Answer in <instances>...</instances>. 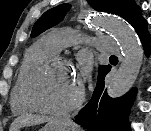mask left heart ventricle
Wrapping results in <instances>:
<instances>
[{
	"label": "left heart ventricle",
	"mask_w": 151,
	"mask_h": 131,
	"mask_svg": "<svg viewBox=\"0 0 151 131\" xmlns=\"http://www.w3.org/2000/svg\"><path fill=\"white\" fill-rule=\"evenodd\" d=\"M81 81L72 68L55 65L37 83V93L48 106L59 107L75 98Z\"/></svg>",
	"instance_id": "b2bd125f"
}]
</instances>
